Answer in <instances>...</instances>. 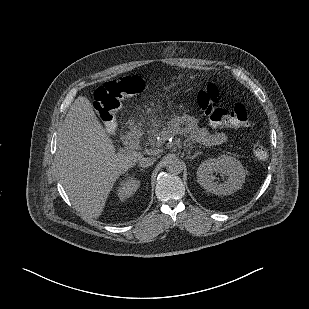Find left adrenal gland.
I'll return each instance as SVG.
<instances>
[{"instance_id":"left-adrenal-gland-1","label":"left adrenal gland","mask_w":309,"mask_h":309,"mask_svg":"<svg viewBox=\"0 0 309 309\" xmlns=\"http://www.w3.org/2000/svg\"><path fill=\"white\" fill-rule=\"evenodd\" d=\"M190 154V151L188 152ZM200 153H195L193 156H189L188 158L192 161L195 157H197Z\"/></svg>"}]
</instances>
